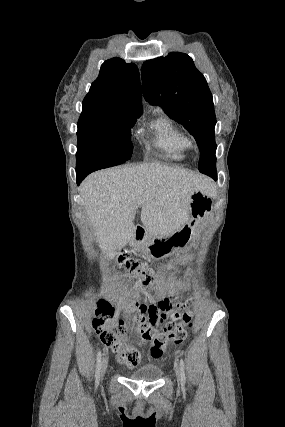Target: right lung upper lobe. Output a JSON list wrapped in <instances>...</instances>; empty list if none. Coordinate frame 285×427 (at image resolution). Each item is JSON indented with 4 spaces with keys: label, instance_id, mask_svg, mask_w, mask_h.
<instances>
[{
    "label": "right lung upper lobe",
    "instance_id": "1",
    "mask_svg": "<svg viewBox=\"0 0 285 427\" xmlns=\"http://www.w3.org/2000/svg\"><path fill=\"white\" fill-rule=\"evenodd\" d=\"M137 66L120 58L105 61L83 100L78 124L132 120L142 113Z\"/></svg>",
    "mask_w": 285,
    "mask_h": 427
}]
</instances>
